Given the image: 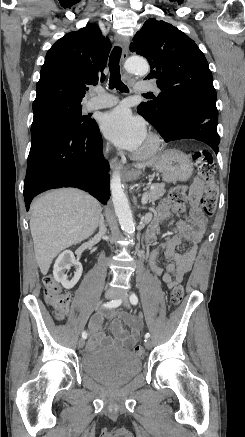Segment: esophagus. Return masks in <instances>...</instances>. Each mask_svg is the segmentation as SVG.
<instances>
[{
	"label": "esophagus",
	"instance_id": "34e87169",
	"mask_svg": "<svg viewBox=\"0 0 245 437\" xmlns=\"http://www.w3.org/2000/svg\"><path fill=\"white\" fill-rule=\"evenodd\" d=\"M116 41L118 44L122 47V61H124L127 58L128 55V47H129V41L126 37L123 36H117ZM110 167L112 170H118L121 168V164L117 158H112L110 161Z\"/></svg>",
	"mask_w": 245,
	"mask_h": 437
}]
</instances>
